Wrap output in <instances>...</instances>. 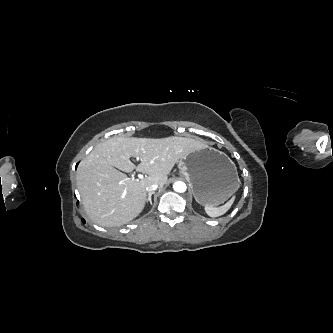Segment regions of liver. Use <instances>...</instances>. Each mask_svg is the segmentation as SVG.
<instances>
[{
    "instance_id": "6515ba94",
    "label": "liver",
    "mask_w": 333,
    "mask_h": 333,
    "mask_svg": "<svg viewBox=\"0 0 333 333\" xmlns=\"http://www.w3.org/2000/svg\"><path fill=\"white\" fill-rule=\"evenodd\" d=\"M207 147L189 137L135 138L114 137L94 147L77 169V187L86 213L96 224L116 227L135 219L144 209L146 187L163 186L174 165L188 153ZM130 157L140 159L139 165ZM123 172L145 174L131 179Z\"/></svg>"
}]
</instances>
